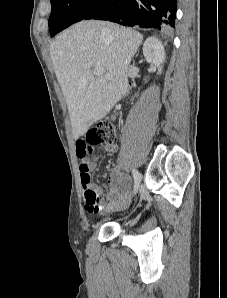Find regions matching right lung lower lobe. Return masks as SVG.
<instances>
[{"mask_svg":"<svg viewBox=\"0 0 227 298\" xmlns=\"http://www.w3.org/2000/svg\"><path fill=\"white\" fill-rule=\"evenodd\" d=\"M175 17L176 0H105L84 19L160 30L174 27Z\"/></svg>","mask_w":227,"mask_h":298,"instance_id":"obj_1","label":"right lung lower lobe"}]
</instances>
